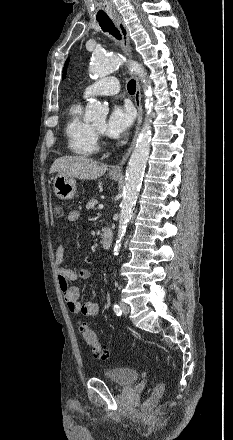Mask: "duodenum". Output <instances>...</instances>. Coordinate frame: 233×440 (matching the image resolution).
Wrapping results in <instances>:
<instances>
[{"label":"duodenum","instance_id":"duodenum-1","mask_svg":"<svg viewBox=\"0 0 233 440\" xmlns=\"http://www.w3.org/2000/svg\"><path fill=\"white\" fill-rule=\"evenodd\" d=\"M113 241V232L109 227H105L101 233V243L104 249L110 248Z\"/></svg>","mask_w":233,"mask_h":440}]
</instances>
